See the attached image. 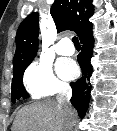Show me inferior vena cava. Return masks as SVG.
<instances>
[{"label":"inferior vena cava","mask_w":117,"mask_h":131,"mask_svg":"<svg viewBox=\"0 0 117 131\" xmlns=\"http://www.w3.org/2000/svg\"><path fill=\"white\" fill-rule=\"evenodd\" d=\"M72 96V89L69 85H63L58 90L57 101L61 104L68 116V129L70 131L72 128V123L74 119V110L70 104V99Z\"/></svg>","instance_id":"1"}]
</instances>
